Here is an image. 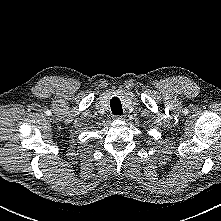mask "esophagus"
<instances>
[{"mask_svg":"<svg viewBox=\"0 0 221 221\" xmlns=\"http://www.w3.org/2000/svg\"><path fill=\"white\" fill-rule=\"evenodd\" d=\"M124 117H125L124 115H114L113 116L114 119H121V120L124 119Z\"/></svg>","mask_w":221,"mask_h":221,"instance_id":"1","label":"esophagus"}]
</instances>
